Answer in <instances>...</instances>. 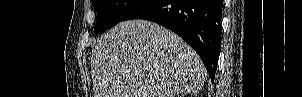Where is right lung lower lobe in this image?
Segmentation results:
<instances>
[{"instance_id":"obj_1","label":"right lung lower lobe","mask_w":302,"mask_h":97,"mask_svg":"<svg viewBox=\"0 0 302 97\" xmlns=\"http://www.w3.org/2000/svg\"><path fill=\"white\" fill-rule=\"evenodd\" d=\"M222 0H141L122 21L145 19L182 37L200 55L214 81L221 47Z\"/></svg>"}]
</instances>
